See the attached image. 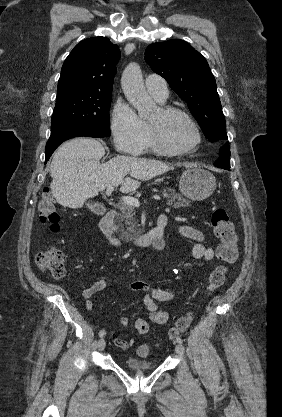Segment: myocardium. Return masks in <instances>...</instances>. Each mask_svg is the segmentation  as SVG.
Listing matches in <instances>:
<instances>
[{"instance_id": "1", "label": "myocardium", "mask_w": 282, "mask_h": 417, "mask_svg": "<svg viewBox=\"0 0 282 417\" xmlns=\"http://www.w3.org/2000/svg\"><path fill=\"white\" fill-rule=\"evenodd\" d=\"M159 111L165 117L178 116L185 120V122L189 125L194 134V141L187 146H172L166 142L161 132L149 122V129L158 147L161 150L172 154H183L196 150L199 144L201 143V134L193 119L186 112L175 107L161 106L159 107Z\"/></svg>"}]
</instances>
